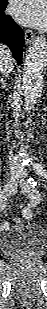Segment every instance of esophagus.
<instances>
[{"label":"esophagus","mask_w":47,"mask_h":309,"mask_svg":"<svg viewBox=\"0 0 47 309\" xmlns=\"http://www.w3.org/2000/svg\"><path fill=\"white\" fill-rule=\"evenodd\" d=\"M24 36H25L26 44H30L33 41L34 37H35V35H34L32 30H25L24 31Z\"/></svg>","instance_id":"esophagus-1"}]
</instances>
